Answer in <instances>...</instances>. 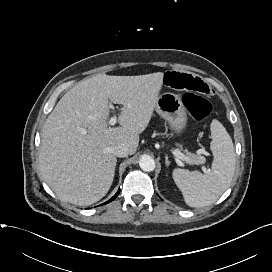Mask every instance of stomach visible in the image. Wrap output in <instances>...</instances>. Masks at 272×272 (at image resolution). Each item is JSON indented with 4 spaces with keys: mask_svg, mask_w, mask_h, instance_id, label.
Wrapping results in <instances>:
<instances>
[{
    "mask_svg": "<svg viewBox=\"0 0 272 272\" xmlns=\"http://www.w3.org/2000/svg\"><path fill=\"white\" fill-rule=\"evenodd\" d=\"M155 110L177 134L184 130L187 122V112L178 95L163 93L158 98Z\"/></svg>",
    "mask_w": 272,
    "mask_h": 272,
    "instance_id": "obj_1",
    "label": "stomach"
}]
</instances>
